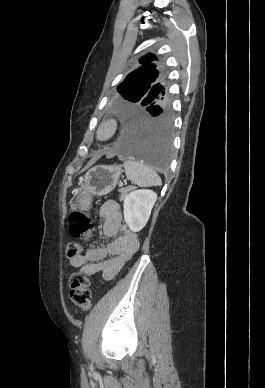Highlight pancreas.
Returning <instances> with one entry per match:
<instances>
[{
    "instance_id": "1",
    "label": "pancreas",
    "mask_w": 265,
    "mask_h": 388,
    "mask_svg": "<svg viewBox=\"0 0 265 388\" xmlns=\"http://www.w3.org/2000/svg\"><path fill=\"white\" fill-rule=\"evenodd\" d=\"M131 190H133V188H120L119 192L121 194L119 200H124L125 196H127L128 192H131Z\"/></svg>"
}]
</instances>
